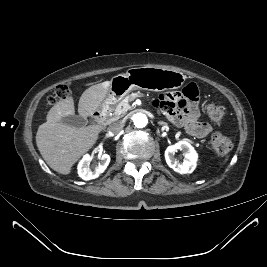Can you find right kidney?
Listing matches in <instances>:
<instances>
[{
	"label": "right kidney",
	"mask_w": 267,
	"mask_h": 267,
	"mask_svg": "<svg viewBox=\"0 0 267 267\" xmlns=\"http://www.w3.org/2000/svg\"><path fill=\"white\" fill-rule=\"evenodd\" d=\"M93 156L85 155L78 164V174L83 180L95 179L102 174L110 162V156L108 154H99V162L96 165L90 168V162L92 161Z\"/></svg>",
	"instance_id": "right-kidney-1"
}]
</instances>
